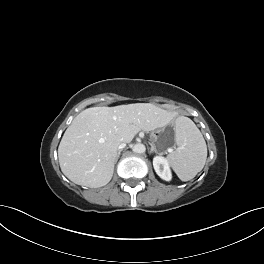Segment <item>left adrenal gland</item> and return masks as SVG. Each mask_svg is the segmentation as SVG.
Masks as SVG:
<instances>
[{
  "mask_svg": "<svg viewBox=\"0 0 264 264\" xmlns=\"http://www.w3.org/2000/svg\"><path fill=\"white\" fill-rule=\"evenodd\" d=\"M150 146H151L150 153H153V152L158 153V151H157V149L153 143H150Z\"/></svg>",
  "mask_w": 264,
  "mask_h": 264,
  "instance_id": "left-adrenal-gland-1",
  "label": "left adrenal gland"
}]
</instances>
